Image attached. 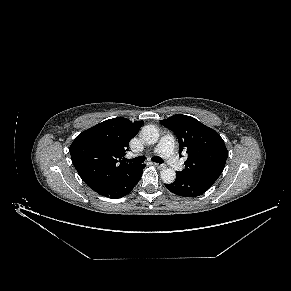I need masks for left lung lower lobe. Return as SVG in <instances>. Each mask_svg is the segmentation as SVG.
<instances>
[{"label":"left lung lower lobe","instance_id":"left-lung-lower-lobe-1","mask_svg":"<svg viewBox=\"0 0 291 291\" xmlns=\"http://www.w3.org/2000/svg\"><path fill=\"white\" fill-rule=\"evenodd\" d=\"M217 180L215 177H188L181 172H176L173 183L165 184L172 193L183 197H197L205 193Z\"/></svg>","mask_w":291,"mask_h":291}]
</instances>
